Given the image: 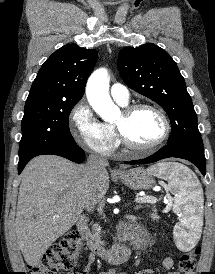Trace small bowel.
Here are the masks:
<instances>
[{"instance_id": "c3829d8e", "label": "small bowel", "mask_w": 215, "mask_h": 274, "mask_svg": "<svg viewBox=\"0 0 215 274\" xmlns=\"http://www.w3.org/2000/svg\"><path fill=\"white\" fill-rule=\"evenodd\" d=\"M94 261H95L94 254L90 253L88 257V262L83 268V270L74 274H88ZM173 266H174V260L172 257H166L162 262V269L165 271H168V274H179L178 272L170 271L173 268ZM153 272L154 271L152 269H146L140 272H136L135 274H153ZM99 274H123V273H117L113 270H108V271L100 272Z\"/></svg>"}]
</instances>
